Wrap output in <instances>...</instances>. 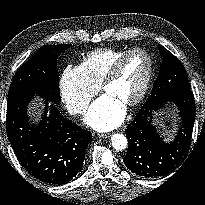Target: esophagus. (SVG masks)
I'll use <instances>...</instances> for the list:
<instances>
[{"label": "esophagus", "instance_id": "1", "mask_svg": "<svg viewBox=\"0 0 205 205\" xmlns=\"http://www.w3.org/2000/svg\"><path fill=\"white\" fill-rule=\"evenodd\" d=\"M99 137L100 138H108V137H110V134L109 133H107V134H99Z\"/></svg>", "mask_w": 205, "mask_h": 205}]
</instances>
